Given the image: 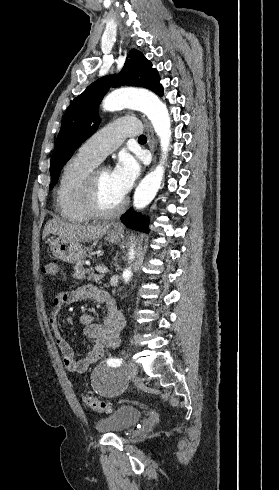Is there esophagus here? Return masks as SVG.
<instances>
[{
  "mask_svg": "<svg viewBox=\"0 0 279 490\" xmlns=\"http://www.w3.org/2000/svg\"><path fill=\"white\" fill-rule=\"evenodd\" d=\"M142 120L144 121L146 131H147L148 146H149L152 154H154V152H155V140H154L153 128L145 117L142 116ZM116 228H118V225H114V229H116Z\"/></svg>",
  "mask_w": 279,
  "mask_h": 490,
  "instance_id": "1",
  "label": "esophagus"
}]
</instances>
